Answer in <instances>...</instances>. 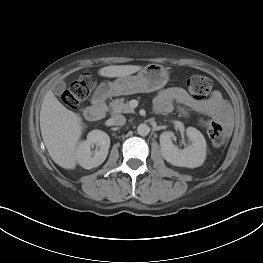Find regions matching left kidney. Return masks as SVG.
Here are the masks:
<instances>
[{
	"label": "left kidney",
	"instance_id": "5707ae66",
	"mask_svg": "<svg viewBox=\"0 0 263 263\" xmlns=\"http://www.w3.org/2000/svg\"><path fill=\"white\" fill-rule=\"evenodd\" d=\"M186 135L191 144L184 149H179L172 143V132H163L160 135L162 156L167 162L175 166L199 167L204 163L206 157V140L202 133L194 127H188Z\"/></svg>",
	"mask_w": 263,
	"mask_h": 263
}]
</instances>
